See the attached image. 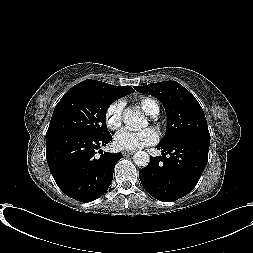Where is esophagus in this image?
<instances>
[{
  "instance_id": "1",
  "label": "esophagus",
  "mask_w": 253,
  "mask_h": 253,
  "mask_svg": "<svg viewBox=\"0 0 253 253\" xmlns=\"http://www.w3.org/2000/svg\"><path fill=\"white\" fill-rule=\"evenodd\" d=\"M135 151H123L124 156L133 155Z\"/></svg>"
}]
</instances>
